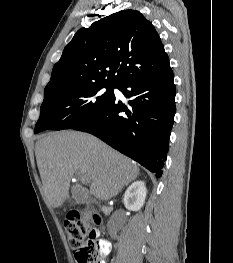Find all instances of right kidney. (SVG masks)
<instances>
[{
    "label": "right kidney",
    "mask_w": 233,
    "mask_h": 263,
    "mask_svg": "<svg viewBox=\"0 0 233 263\" xmlns=\"http://www.w3.org/2000/svg\"><path fill=\"white\" fill-rule=\"evenodd\" d=\"M147 189L143 181H136L126 190L123 198L125 207L131 211H138L143 207Z\"/></svg>",
    "instance_id": "1"
}]
</instances>
